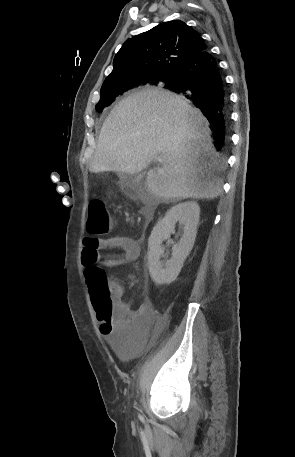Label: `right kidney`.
Masks as SVG:
<instances>
[{
	"instance_id": "right-kidney-1",
	"label": "right kidney",
	"mask_w": 295,
	"mask_h": 457,
	"mask_svg": "<svg viewBox=\"0 0 295 457\" xmlns=\"http://www.w3.org/2000/svg\"><path fill=\"white\" fill-rule=\"evenodd\" d=\"M199 214L200 207L196 202L179 203L169 209L165 217L154 226L148 240V268L155 284H170L179 275L195 242ZM177 222L182 226L183 235L172 249L171 259L163 265L160 261L164 252L162 243L174 232Z\"/></svg>"
}]
</instances>
